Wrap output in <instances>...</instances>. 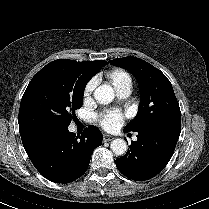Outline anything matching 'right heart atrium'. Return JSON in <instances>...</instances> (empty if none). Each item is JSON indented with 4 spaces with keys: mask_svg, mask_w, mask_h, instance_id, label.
<instances>
[{
    "mask_svg": "<svg viewBox=\"0 0 209 209\" xmlns=\"http://www.w3.org/2000/svg\"><path fill=\"white\" fill-rule=\"evenodd\" d=\"M95 85H96L95 79L90 80V81L85 85L84 91H83V95H84L85 98H88V97L92 94V92H93V90H94V88H95Z\"/></svg>",
    "mask_w": 209,
    "mask_h": 209,
    "instance_id": "right-heart-atrium-1",
    "label": "right heart atrium"
}]
</instances>
